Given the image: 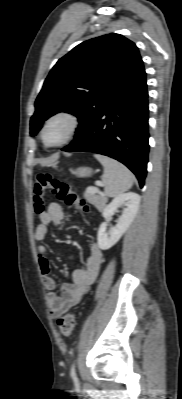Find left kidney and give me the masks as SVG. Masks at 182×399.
I'll list each match as a JSON object with an SVG mask.
<instances>
[{"instance_id":"left-kidney-1","label":"left kidney","mask_w":182,"mask_h":399,"mask_svg":"<svg viewBox=\"0 0 182 399\" xmlns=\"http://www.w3.org/2000/svg\"><path fill=\"white\" fill-rule=\"evenodd\" d=\"M140 204V196L137 193L128 192L116 196L102 212L106 222H103L98 230V246L101 250H108L114 246L132 223ZM123 207L122 215L117 224L110 231L107 229V221L117 211Z\"/></svg>"}]
</instances>
